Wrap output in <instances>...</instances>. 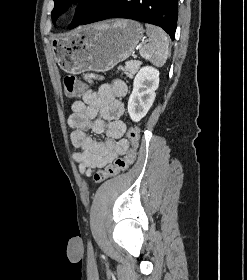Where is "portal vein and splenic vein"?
<instances>
[{"instance_id":"portal-vein-and-splenic-vein-1","label":"portal vein and splenic vein","mask_w":247,"mask_h":280,"mask_svg":"<svg viewBox=\"0 0 247 280\" xmlns=\"http://www.w3.org/2000/svg\"><path fill=\"white\" fill-rule=\"evenodd\" d=\"M144 43H146V41H145V42H142V44H144ZM142 44H141V46H142Z\"/></svg>"}]
</instances>
